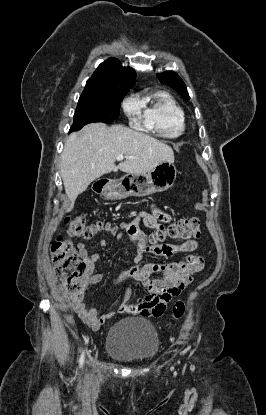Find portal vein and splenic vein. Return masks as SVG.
<instances>
[{"mask_svg":"<svg viewBox=\"0 0 266 415\" xmlns=\"http://www.w3.org/2000/svg\"><path fill=\"white\" fill-rule=\"evenodd\" d=\"M124 158H126V156H124L123 154H119V155L116 157V159H117L118 161H121V160H123Z\"/></svg>","mask_w":266,"mask_h":415,"instance_id":"1","label":"portal vein and splenic vein"}]
</instances>
